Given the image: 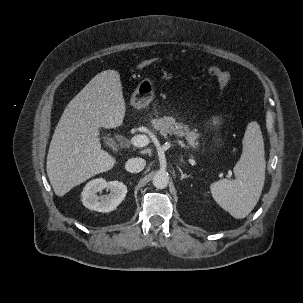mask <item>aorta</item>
Masks as SVG:
<instances>
[{
  "label": "aorta",
  "instance_id": "obj_1",
  "mask_svg": "<svg viewBox=\"0 0 303 303\" xmlns=\"http://www.w3.org/2000/svg\"><path fill=\"white\" fill-rule=\"evenodd\" d=\"M153 185L158 189H164L169 184V175L165 171H158L152 179Z\"/></svg>",
  "mask_w": 303,
  "mask_h": 303
}]
</instances>
